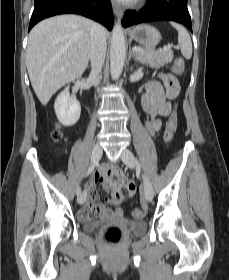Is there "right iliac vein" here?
Returning <instances> with one entry per match:
<instances>
[{
  "label": "right iliac vein",
  "mask_w": 229,
  "mask_h": 280,
  "mask_svg": "<svg viewBox=\"0 0 229 280\" xmlns=\"http://www.w3.org/2000/svg\"><path fill=\"white\" fill-rule=\"evenodd\" d=\"M102 148L99 144L94 145L92 150V163H97L102 156ZM85 199L84 193L80 194L77 198L78 204H83Z\"/></svg>",
  "instance_id": "63e3f726"
}]
</instances>
